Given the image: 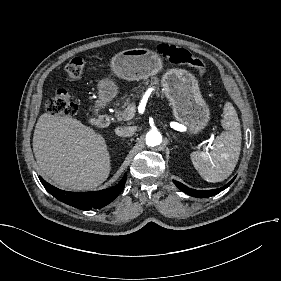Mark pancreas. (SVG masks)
Returning <instances> with one entry per match:
<instances>
[{
	"mask_svg": "<svg viewBox=\"0 0 281 281\" xmlns=\"http://www.w3.org/2000/svg\"><path fill=\"white\" fill-rule=\"evenodd\" d=\"M153 83H151V85H154L155 87L158 88V81H159V78L158 77H154L153 78ZM145 83H148V81H146ZM143 91V90H142ZM130 102L129 100H123V104L121 105L120 109L122 110V112L120 113H117L115 115L116 119L118 121L122 120V116L124 115L125 111L127 110V107L129 106Z\"/></svg>",
	"mask_w": 281,
	"mask_h": 281,
	"instance_id": "obj_1",
	"label": "pancreas"
}]
</instances>
